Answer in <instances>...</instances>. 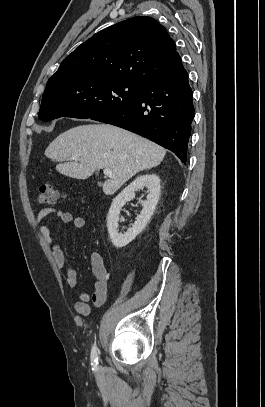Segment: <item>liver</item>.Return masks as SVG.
<instances>
[{"instance_id": "liver-1", "label": "liver", "mask_w": 265, "mask_h": 407, "mask_svg": "<svg viewBox=\"0 0 265 407\" xmlns=\"http://www.w3.org/2000/svg\"><path fill=\"white\" fill-rule=\"evenodd\" d=\"M166 150L135 133L109 124L73 127L56 137L45 150L46 157L61 161L56 170L70 178L85 180L96 170L108 168L113 176L103 184L106 195L114 194L140 171L158 166Z\"/></svg>"}]
</instances>
